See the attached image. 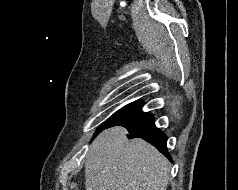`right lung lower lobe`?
<instances>
[{
  "instance_id": "right-lung-lower-lobe-1",
  "label": "right lung lower lobe",
  "mask_w": 238,
  "mask_h": 190,
  "mask_svg": "<svg viewBox=\"0 0 238 190\" xmlns=\"http://www.w3.org/2000/svg\"><path fill=\"white\" fill-rule=\"evenodd\" d=\"M120 125L128 130V138H143L171 160V156L169 155L166 146L167 137L155 126L152 114L145 113L138 118L124 122Z\"/></svg>"
}]
</instances>
